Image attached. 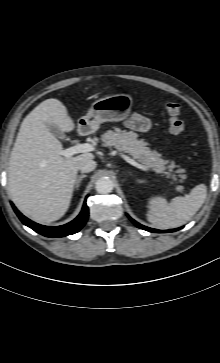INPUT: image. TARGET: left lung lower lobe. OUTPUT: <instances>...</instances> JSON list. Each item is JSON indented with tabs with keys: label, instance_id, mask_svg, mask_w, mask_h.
<instances>
[{
	"label": "left lung lower lobe",
	"instance_id": "left-lung-lower-lobe-1",
	"mask_svg": "<svg viewBox=\"0 0 220 363\" xmlns=\"http://www.w3.org/2000/svg\"><path fill=\"white\" fill-rule=\"evenodd\" d=\"M130 218V217H129ZM130 220L138 227V228H141V229H144L146 231H149V232H156V233H166V232H174V231H177L181 228H178V229H172V230H165V231H161V230H156V229H152V228H149V227H146V226H143L141 224H139L138 222H136L135 220H133L132 218H130Z\"/></svg>",
	"mask_w": 220,
	"mask_h": 363
}]
</instances>
